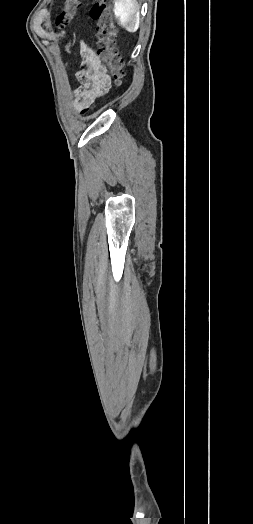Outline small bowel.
Returning <instances> with one entry per match:
<instances>
[{
    "mask_svg": "<svg viewBox=\"0 0 253 524\" xmlns=\"http://www.w3.org/2000/svg\"><path fill=\"white\" fill-rule=\"evenodd\" d=\"M62 49H72V46H62ZM83 62L77 73L80 83L77 89V99L80 105H89L98 96L104 95L110 88V78L105 72L101 60L87 44L81 45Z\"/></svg>",
    "mask_w": 253,
    "mask_h": 524,
    "instance_id": "obj_1",
    "label": "small bowel"
}]
</instances>
